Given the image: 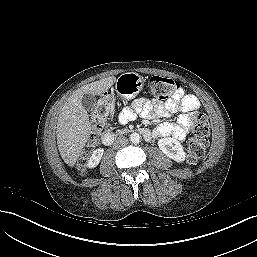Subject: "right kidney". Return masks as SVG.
Listing matches in <instances>:
<instances>
[{
	"mask_svg": "<svg viewBox=\"0 0 257 257\" xmlns=\"http://www.w3.org/2000/svg\"><path fill=\"white\" fill-rule=\"evenodd\" d=\"M104 150L102 148L96 149L92 156L89 158L87 167L88 168H95L99 163L103 156Z\"/></svg>",
	"mask_w": 257,
	"mask_h": 257,
	"instance_id": "right-kidney-1",
	"label": "right kidney"
}]
</instances>
